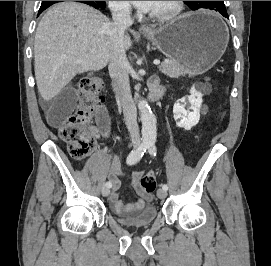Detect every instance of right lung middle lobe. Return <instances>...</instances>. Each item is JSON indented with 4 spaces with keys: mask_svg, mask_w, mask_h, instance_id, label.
<instances>
[{
    "mask_svg": "<svg viewBox=\"0 0 271 266\" xmlns=\"http://www.w3.org/2000/svg\"><path fill=\"white\" fill-rule=\"evenodd\" d=\"M48 2H52V1H42V4H44V3H48Z\"/></svg>",
    "mask_w": 271,
    "mask_h": 266,
    "instance_id": "right-lung-middle-lobe-1",
    "label": "right lung middle lobe"
}]
</instances>
